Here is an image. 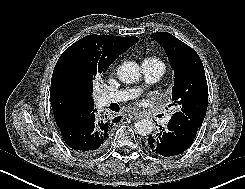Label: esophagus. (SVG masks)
Masks as SVG:
<instances>
[{
  "instance_id": "obj_1",
  "label": "esophagus",
  "mask_w": 245,
  "mask_h": 189,
  "mask_svg": "<svg viewBox=\"0 0 245 189\" xmlns=\"http://www.w3.org/2000/svg\"><path fill=\"white\" fill-rule=\"evenodd\" d=\"M128 117L131 119H137V118H139V114H138V112L133 111V112L128 114Z\"/></svg>"
}]
</instances>
